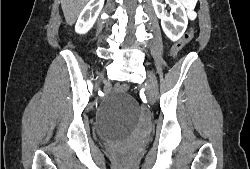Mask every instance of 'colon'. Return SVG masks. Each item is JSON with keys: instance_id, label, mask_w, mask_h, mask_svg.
<instances>
[{"instance_id": "1", "label": "colon", "mask_w": 250, "mask_h": 169, "mask_svg": "<svg viewBox=\"0 0 250 169\" xmlns=\"http://www.w3.org/2000/svg\"><path fill=\"white\" fill-rule=\"evenodd\" d=\"M193 38V32L190 31L188 33L183 34L180 39L171 45L169 53L172 57H175L186 44H189V40ZM121 90H129V85H121ZM118 160H127V150H118Z\"/></svg>"}]
</instances>
